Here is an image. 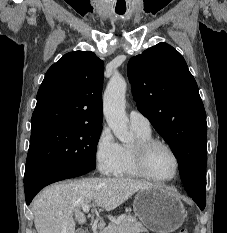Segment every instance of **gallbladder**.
Listing matches in <instances>:
<instances>
[{
    "label": "gallbladder",
    "mask_w": 227,
    "mask_h": 233,
    "mask_svg": "<svg viewBox=\"0 0 227 233\" xmlns=\"http://www.w3.org/2000/svg\"><path fill=\"white\" fill-rule=\"evenodd\" d=\"M76 233H85V231L83 229H78Z\"/></svg>",
    "instance_id": "bac80fb5"
}]
</instances>
